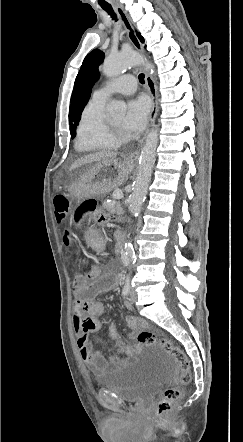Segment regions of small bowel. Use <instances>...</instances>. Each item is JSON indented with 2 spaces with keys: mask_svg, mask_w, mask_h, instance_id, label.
<instances>
[{
  "mask_svg": "<svg viewBox=\"0 0 243 442\" xmlns=\"http://www.w3.org/2000/svg\"><path fill=\"white\" fill-rule=\"evenodd\" d=\"M89 278L91 282H88L87 278L82 276L75 281L73 289L75 296L73 306L74 328L82 361L95 375H101L132 365L141 351V346L127 343L114 324L109 327V336L114 342L109 354H105L102 349L95 348L89 342V335L100 329L99 317L105 310L104 304L94 300V296L114 290L119 284L120 275L115 272L103 273L102 266L94 264ZM83 307L85 310H83ZM125 307L128 310L132 309L130 303H125ZM126 326L136 331L144 329L146 323L139 317L131 316L127 318Z\"/></svg>",
  "mask_w": 243,
  "mask_h": 442,
  "instance_id": "c3829d8e",
  "label": "small bowel"
}]
</instances>
